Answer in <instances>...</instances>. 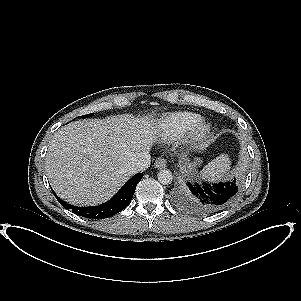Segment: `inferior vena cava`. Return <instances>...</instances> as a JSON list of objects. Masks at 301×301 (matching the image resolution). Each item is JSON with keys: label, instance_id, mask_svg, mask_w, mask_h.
Here are the masks:
<instances>
[{"label": "inferior vena cava", "instance_id": "obj_1", "mask_svg": "<svg viewBox=\"0 0 301 301\" xmlns=\"http://www.w3.org/2000/svg\"><path fill=\"white\" fill-rule=\"evenodd\" d=\"M150 164L151 156L149 154H146L141 159H138L136 162L133 163V165L130 168V171L134 174L144 172L146 169L149 168Z\"/></svg>", "mask_w": 301, "mask_h": 301}]
</instances>
